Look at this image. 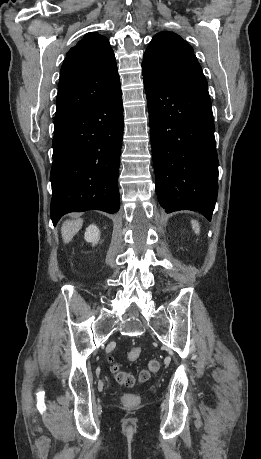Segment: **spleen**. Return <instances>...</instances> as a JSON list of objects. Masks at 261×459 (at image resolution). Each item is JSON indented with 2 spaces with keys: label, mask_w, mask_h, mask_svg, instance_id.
<instances>
[{
  "label": "spleen",
  "mask_w": 261,
  "mask_h": 459,
  "mask_svg": "<svg viewBox=\"0 0 261 459\" xmlns=\"http://www.w3.org/2000/svg\"><path fill=\"white\" fill-rule=\"evenodd\" d=\"M191 224H192V229L194 230V232L199 235L200 234V225L198 223V221L196 220H192L191 221Z\"/></svg>",
  "instance_id": "3e777b00"
}]
</instances>
